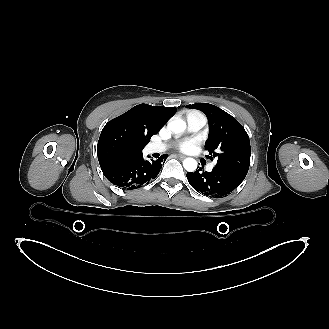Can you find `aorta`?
<instances>
[{
  "instance_id": "obj_1",
  "label": "aorta",
  "mask_w": 329,
  "mask_h": 329,
  "mask_svg": "<svg viewBox=\"0 0 329 329\" xmlns=\"http://www.w3.org/2000/svg\"><path fill=\"white\" fill-rule=\"evenodd\" d=\"M167 127L174 133H181L186 129V123L181 119L170 120ZM183 167L188 172H194L197 169V161L194 158H186Z\"/></svg>"
}]
</instances>
